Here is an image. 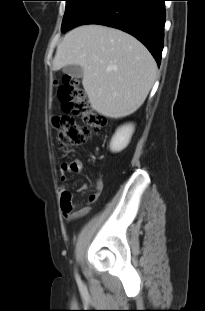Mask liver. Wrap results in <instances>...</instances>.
Returning <instances> with one entry per match:
<instances>
[{
  "mask_svg": "<svg viewBox=\"0 0 205 311\" xmlns=\"http://www.w3.org/2000/svg\"><path fill=\"white\" fill-rule=\"evenodd\" d=\"M68 65L83 68L82 84L91 107L115 119L143 104L157 73L156 62L142 43L121 30L97 24L79 26L65 35L53 69Z\"/></svg>",
  "mask_w": 205,
  "mask_h": 311,
  "instance_id": "6515ba94",
  "label": "liver"
}]
</instances>
